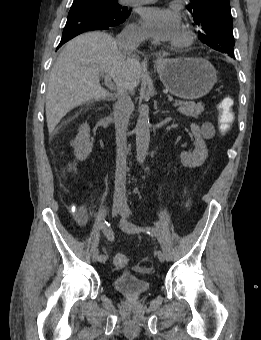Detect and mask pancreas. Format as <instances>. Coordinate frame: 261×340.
Here are the masks:
<instances>
[{
  "instance_id": "1",
  "label": "pancreas",
  "mask_w": 261,
  "mask_h": 340,
  "mask_svg": "<svg viewBox=\"0 0 261 340\" xmlns=\"http://www.w3.org/2000/svg\"><path fill=\"white\" fill-rule=\"evenodd\" d=\"M181 105L178 108V111L188 117L197 118L201 113L204 111V104L203 103H195V102H184L178 101Z\"/></svg>"
}]
</instances>
